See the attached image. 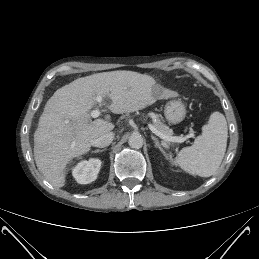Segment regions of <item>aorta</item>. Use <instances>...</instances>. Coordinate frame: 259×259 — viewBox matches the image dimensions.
<instances>
[{
	"mask_svg": "<svg viewBox=\"0 0 259 259\" xmlns=\"http://www.w3.org/2000/svg\"><path fill=\"white\" fill-rule=\"evenodd\" d=\"M128 144L133 149H140L143 146V138L140 134H132L129 137Z\"/></svg>",
	"mask_w": 259,
	"mask_h": 259,
	"instance_id": "obj_1",
	"label": "aorta"
}]
</instances>
